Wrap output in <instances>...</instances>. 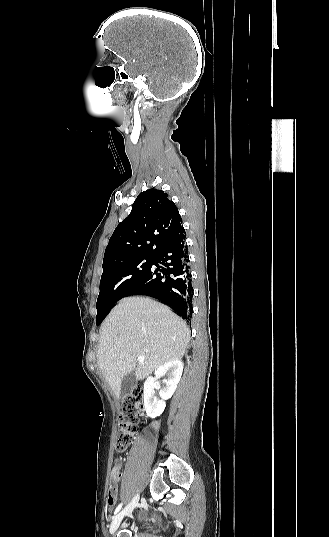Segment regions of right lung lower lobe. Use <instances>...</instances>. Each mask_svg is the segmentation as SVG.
<instances>
[{
	"instance_id": "obj_1",
	"label": "right lung lower lobe",
	"mask_w": 329,
	"mask_h": 537,
	"mask_svg": "<svg viewBox=\"0 0 329 537\" xmlns=\"http://www.w3.org/2000/svg\"><path fill=\"white\" fill-rule=\"evenodd\" d=\"M185 230L163 246L126 296L147 295L169 305L184 319L191 317L193 287ZM161 264L162 266H160Z\"/></svg>"
}]
</instances>
